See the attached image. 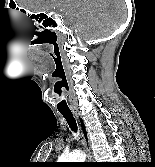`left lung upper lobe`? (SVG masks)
Here are the masks:
<instances>
[{
	"label": "left lung upper lobe",
	"mask_w": 155,
	"mask_h": 167,
	"mask_svg": "<svg viewBox=\"0 0 155 167\" xmlns=\"http://www.w3.org/2000/svg\"><path fill=\"white\" fill-rule=\"evenodd\" d=\"M53 166L58 167V166H60V165H58L57 163H53Z\"/></svg>",
	"instance_id": "obj_1"
}]
</instances>
